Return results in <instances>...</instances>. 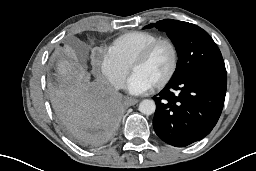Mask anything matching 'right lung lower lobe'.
Masks as SVG:
<instances>
[{"mask_svg":"<svg viewBox=\"0 0 256 171\" xmlns=\"http://www.w3.org/2000/svg\"><path fill=\"white\" fill-rule=\"evenodd\" d=\"M54 107L67 133L83 145L110 141L121 119L119 95L104 83L91 85Z\"/></svg>","mask_w":256,"mask_h":171,"instance_id":"right-lung-lower-lobe-1","label":"right lung lower lobe"}]
</instances>
